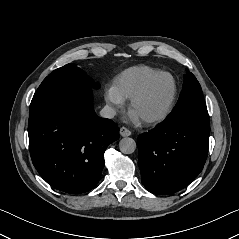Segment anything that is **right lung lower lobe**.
I'll use <instances>...</instances> for the list:
<instances>
[{
	"label": "right lung lower lobe",
	"mask_w": 239,
	"mask_h": 239,
	"mask_svg": "<svg viewBox=\"0 0 239 239\" xmlns=\"http://www.w3.org/2000/svg\"><path fill=\"white\" fill-rule=\"evenodd\" d=\"M28 135L32 162L43 179L80 194L98 183L105 149L119 138V128L95 114L90 88L73 86L30 106Z\"/></svg>",
	"instance_id": "right-lung-lower-lobe-1"
}]
</instances>
